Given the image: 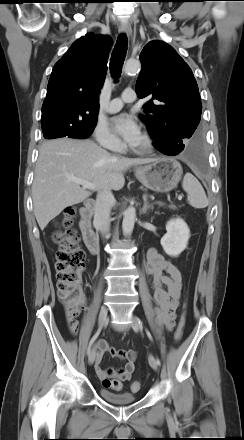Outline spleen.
Wrapping results in <instances>:
<instances>
[{
	"label": "spleen",
	"mask_w": 244,
	"mask_h": 440,
	"mask_svg": "<svg viewBox=\"0 0 244 440\" xmlns=\"http://www.w3.org/2000/svg\"><path fill=\"white\" fill-rule=\"evenodd\" d=\"M182 187L187 193L188 203L192 207L202 209L208 206L209 201L202 185L191 173L185 174L182 181Z\"/></svg>",
	"instance_id": "3e777b00"
}]
</instances>
